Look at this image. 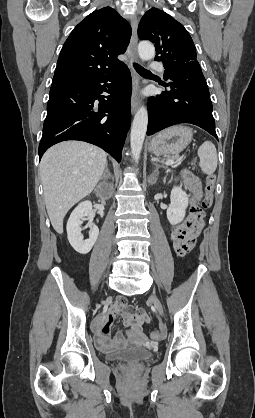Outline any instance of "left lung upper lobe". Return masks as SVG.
<instances>
[{
	"label": "left lung upper lobe",
	"instance_id": "left-lung-upper-lobe-1",
	"mask_svg": "<svg viewBox=\"0 0 255 418\" xmlns=\"http://www.w3.org/2000/svg\"><path fill=\"white\" fill-rule=\"evenodd\" d=\"M138 36L141 40L154 43L155 60L163 63L165 71L199 64L196 60V48L188 31L162 10L151 8L144 14L138 26Z\"/></svg>",
	"mask_w": 255,
	"mask_h": 418
}]
</instances>
